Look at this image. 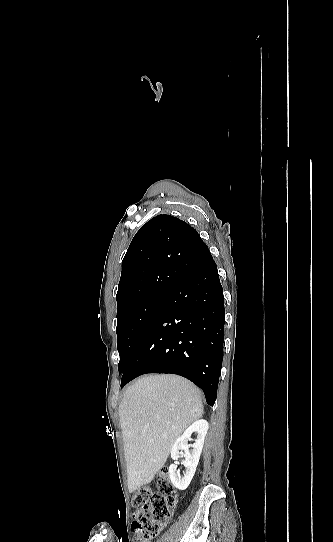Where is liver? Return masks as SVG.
I'll return each mask as SVG.
<instances>
[{
  "label": "liver",
  "mask_w": 333,
  "mask_h": 542,
  "mask_svg": "<svg viewBox=\"0 0 333 542\" xmlns=\"http://www.w3.org/2000/svg\"><path fill=\"white\" fill-rule=\"evenodd\" d=\"M200 392L175 374L142 376L119 406L130 494L150 484L184 430L202 418Z\"/></svg>",
  "instance_id": "6515ba94"
}]
</instances>
